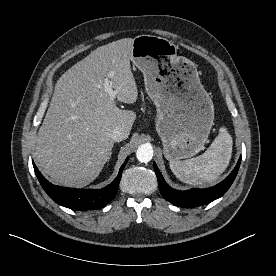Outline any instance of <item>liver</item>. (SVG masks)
<instances>
[{"mask_svg":"<svg viewBox=\"0 0 276 276\" xmlns=\"http://www.w3.org/2000/svg\"><path fill=\"white\" fill-rule=\"evenodd\" d=\"M132 45V38H124L100 46L58 79L35 149L37 166L53 182L77 188L90 184L109 159L113 130L121 126L130 134L136 114L119 109L115 99L133 104L138 98ZM111 73L115 99L103 87Z\"/></svg>","mask_w":276,"mask_h":276,"instance_id":"1","label":"liver"}]
</instances>
